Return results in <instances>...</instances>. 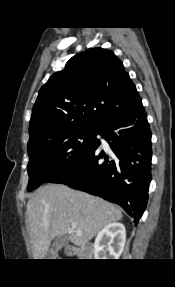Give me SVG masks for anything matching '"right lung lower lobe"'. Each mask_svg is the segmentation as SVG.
<instances>
[{
  "label": "right lung lower lobe",
  "instance_id": "right-lung-lower-lobe-1",
  "mask_svg": "<svg viewBox=\"0 0 175 287\" xmlns=\"http://www.w3.org/2000/svg\"><path fill=\"white\" fill-rule=\"evenodd\" d=\"M111 153L96 146L73 168L49 182L100 196L120 205L138 223L151 181V131L142 102L105 121L99 133Z\"/></svg>",
  "mask_w": 175,
  "mask_h": 287
}]
</instances>
